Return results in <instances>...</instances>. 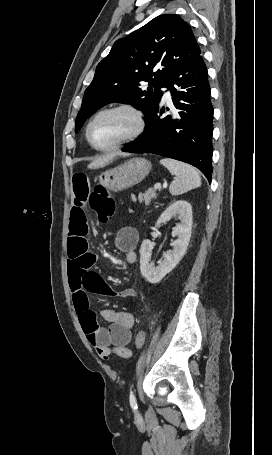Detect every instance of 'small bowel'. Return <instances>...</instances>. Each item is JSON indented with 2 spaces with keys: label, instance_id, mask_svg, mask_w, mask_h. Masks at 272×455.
<instances>
[{
  "label": "small bowel",
  "instance_id": "small-bowel-1",
  "mask_svg": "<svg viewBox=\"0 0 272 455\" xmlns=\"http://www.w3.org/2000/svg\"><path fill=\"white\" fill-rule=\"evenodd\" d=\"M72 192L73 207L68 233V277L76 313L87 340L101 358L108 359L111 355H117L129 359L132 357V351L127 345L132 338L133 314L128 311L104 309L102 316L108 322V326L101 327L90 308L88 294L133 298L137 296V292L133 288L116 290L93 271L96 255L89 249L86 239L88 234L86 207L91 195L90 176L84 172L75 173L72 178ZM138 240V232L131 226L122 227L115 234L114 244L124 254L128 264L137 261L135 250ZM123 351L128 354L123 355Z\"/></svg>",
  "mask_w": 272,
  "mask_h": 455
}]
</instances>
